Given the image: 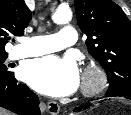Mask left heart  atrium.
I'll return each mask as SVG.
<instances>
[{"mask_svg": "<svg viewBox=\"0 0 131 115\" xmlns=\"http://www.w3.org/2000/svg\"><path fill=\"white\" fill-rule=\"evenodd\" d=\"M21 76L36 91L55 97L72 94L80 81L74 60L52 55L27 62Z\"/></svg>", "mask_w": 131, "mask_h": 115, "instance_id": "1", "label": "left heart atrium"}]
</instances>
